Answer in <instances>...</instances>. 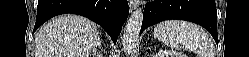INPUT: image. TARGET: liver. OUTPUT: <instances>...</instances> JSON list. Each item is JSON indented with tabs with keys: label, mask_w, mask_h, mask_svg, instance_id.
Instances as JSON below:
<instances>
[{
	"label": "liver",
	"mask_w": 249,
	"mask_h": 57,
	"mask_svg": "<svg viewBox=\"0 0 249 57\" xmlns=\"http://www.w3.org/2000/svg\"><path fill=\"white\" fill-rule=\"evenodd\" d=\"M99 40L98 26L79 15H61L35 37V57H89Z\"/></svg>",
	"instance_id": "liver-1"
}]
</instances>
